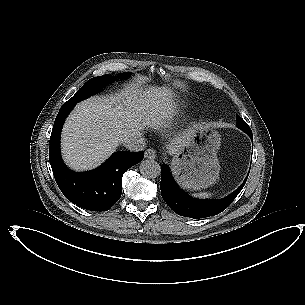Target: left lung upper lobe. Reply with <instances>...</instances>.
I'll return each mask as SVG.
<instances>
[{
    "label": "left lung upper lobe",
    "mask_w": 305,
    "mask_h": 305,
    "mask_svg": "<svg viewBox=\"0 0 305 305\" xmlns=\"http://www.w3.org/2000/svg\"><path fill=\"white\" fill-rule=\"evenodd\" d=\"M236 121H237L236 126L238 128H240L241 130H243L245 133H247L250 138H253L252 131H251L250 127L247 125V123L242 118H240L238 115H236ZM231 196H232V194L229 195V197H231ZM226 199H227V197L220 199V200H215V201L218 203V205H221L222 203L226 202Z\"/></svg>",
    "instance_id": "1"
}]
</instances>
